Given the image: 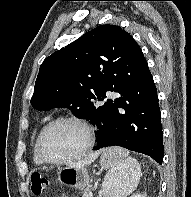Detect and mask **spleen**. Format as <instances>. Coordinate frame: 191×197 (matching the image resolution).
<instances>
[{
  "instance_id": "1",
  "label": "spleen",
  "mask_w": 191,
  "mask_h": 197,
  "mask_svg": "<svg viewBox=\"0 0 191 197\" xmlns=\"http://www.w3.org/2000/svg\"><path fill=\"white\" fill-rule=\"evenodd\" d=\"M109 151L118 157V162L107 173L104 197H127L139 184L142 175L140 164L123 148L113 147Z\"/></svg>"
}]
</instances>
